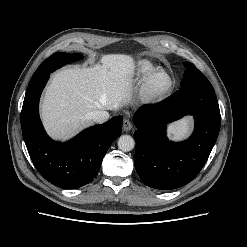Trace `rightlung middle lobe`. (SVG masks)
<instances>
[{"label": "right lung middle lobe", "instance_id": "1", "mask_svg": "<svg viewBox=\"0 0 247 247\" xmlns=\"http://www.w3.org/2000/svg\"><path fill=\"white\" fill-rule=\"evenodd\" d=\"M82 58L83 56L81 54H68L62 52L54 53L38 67L30 81H34L68 63L79 61Z\"/></svg>", "mask_w": 247, "mask_h": 247}]
</instances>
